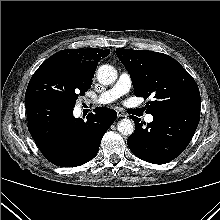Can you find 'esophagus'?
<instances>
[{
    "label": "esophagus",
    "mask_w": 220,
    "mask_h": 220,
    "mask_svg": "<svg viewBox=\"0 0 220 220\" xmlns=\"http://www.w3.org/2000/svg\"><path fill=\"white\" fill-rule=\"evenodd\" d=\"M117 116L118 117H126V114L121 110H117Z\"/></svg>",
    "instance_id": "esophagus-1"
}]
</instances>
